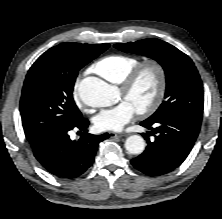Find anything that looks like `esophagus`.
Segmentation results:
<instances>
[{"instance_id":"esophagus-1","label":"esophagus","mask_w":222,"mask_h":219,"mask_svg":"<svg viewBox=\"0 0 222 219\" xmlns=\"http://www.w3.org/2000/svg\"><path fill=\"white\" fill-rule=\"evenodd\" d=\"M125 135H126L125 133L109 132V136H110L111 138L122 137V136H125Z\"/></svg>"}]
</instances>
